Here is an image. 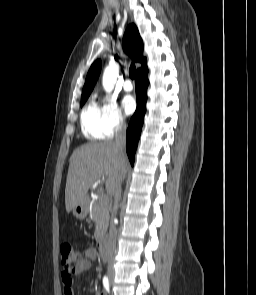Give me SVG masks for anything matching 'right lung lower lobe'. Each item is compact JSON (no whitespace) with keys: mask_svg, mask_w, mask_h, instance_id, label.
Returning a JSON list of instances; mask_svg holds the SVG:
<instances>
[{"mask_svg":"<svg viewBox=\"0 0 256 295\" xmlns=\"http://www.w3.org/2000/svg\"><path fill=\"white\" fill-rule=\"evenodd\" d=\"M148 69L142 71L136 75L135 86H136V100H137V109L132 116L128 129H127V154L130 160L131 165L134 164L135 151L141 134V128L144 121V115L146 112L145 103L147 100V86L149 84L148 78Z\"/></svg>","mask_w":256,"mask_h":295,"instance_id":"98d812e1","label":"right lung lower lobe"}]
</instances>
